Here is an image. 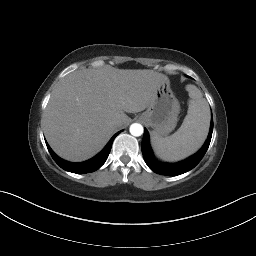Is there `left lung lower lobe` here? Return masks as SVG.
Segmentation results:
<instances>
[{"mask_svg": "<svg viewBox=\"0 0 256 256\" xmlns=\"http://www.w3.org/2000/svg\"><path fill=\"white\" fill-rule=\"evenodd\" d=\"M212 132L213 119L211 120L208 138L204 143L203 147L196 154L189 157L188 159L178 163L171 164L160 163L155 160L149 143V134L148 131L145 129L141 145L144 160L152 171L160 175L177 176L185 172H188L189 170L193 169L205 155L211 141Z\"/></svg>", "mask_w": 256, "mask_h": 256, "instance_id": "1", "label": "left lung lower lobe"}]
</instances>
